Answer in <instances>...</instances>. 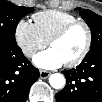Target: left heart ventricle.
Masks as SVG:
<instances>
[{
    "label": "left heart ventricle",
    "instance_id": "left-heart-ventricle-1",
    "mask_svg": "<svg viewBox=\"0 0 102 102\" xmlns=\"http://www.w3.org/2000/svg\"><path fill=\"white\" fill-rule=\"evenodd\" d=\"M86 31L83 26L74 27L64 38L51 45L64 63L76 59L86 43Z\"/></svg>",
    "mask_w": 102,
    "mask_h": 102
}]
</instances>
